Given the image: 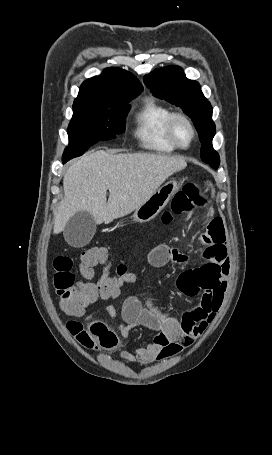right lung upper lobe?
Here are the masks:
<instances>
[{"label": "right lung upper lobe", "instance_id": "cb5924a9", "mask_svg": "<svg viewBox=\"0 0 272 455\" xmlns=\"http://www.w3.org/2000/svg\"><path fill=\"white\" fill-rule=\"evenodd\" d=\"M143 86L130 72L107 68L100 76L83 82L73 107L113 108L135 98Z\"/></svg>", "mask_w": 272, "mask_h": 455}]
</instances>
